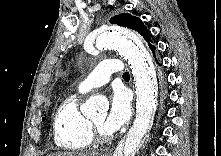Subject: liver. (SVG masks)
Here are the masks:
<instances>
[{"label": "liver", "mask_w": 221, "mask_h": 156, "mask_svg": "<svg viewBox=\"0 0 221 156\" xmlns=\"http://www.w3.org/2000/svg\"><path fill=\"white\" fill-rule=\"evenodd\" d=\"M47 156H98V152L89 151V152H56L50 153Z\"/></svg>", "instance_id": "1"}]
</instances>
